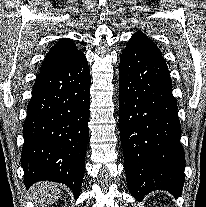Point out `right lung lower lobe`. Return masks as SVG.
<instances>
[{
    "mask_svg": "<svg viewBox=\"0 0 206 207\" xmlns=\"http://www.w3.org/2000/svg\"><path fill=\"white\" fill-rule=\"evenodd\" d=\"M90 69L83 55L36 77L23 127L24 183L48 180L81 190L89 137Z\"/></svg>",
    "mask_w": 206,
    "mask_h": 207,
    "instance_id": "obj_1",
    "label": "right lung lower lobe"
}]
</instances>
